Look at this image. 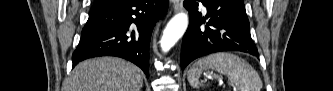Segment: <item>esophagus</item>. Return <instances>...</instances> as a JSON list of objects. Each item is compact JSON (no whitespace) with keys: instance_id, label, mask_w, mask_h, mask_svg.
<instances>
[{"instance_id":"34e87169","label":"esophagus","mask_w":333,"mask_h":91,"mask_svg":"<svg viewBox=\"0 0 333 91\" xmlns=\"http://www.w3.org/2000/svg\"><path fill=\"white\" fill-rule=\"evenodd\" d=\"M171 4L174 12H179L183 8V0H171Z\"/></svg>"}]
</instances>
